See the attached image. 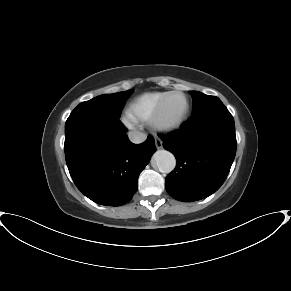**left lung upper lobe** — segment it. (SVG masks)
Segmentation results:
<instances>
[{"mask_svg":"<svg viewBox=\"0 0 291 291\" xmlns=\"http://www.w3.org/2000/svg\"><path fill=\"white\" fill-rule=\"evenodd\" d=\"M193 99V116L204 113L211 108L222 105L218 97L209 96L198 91H189Z\"/></svg>","mask_w":291,"mask_h":291,"instance_id":"1","label":"left lung upper lobe"}]
</instances>
